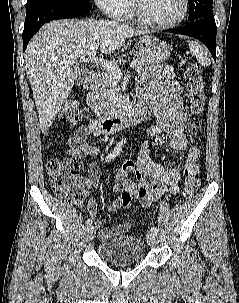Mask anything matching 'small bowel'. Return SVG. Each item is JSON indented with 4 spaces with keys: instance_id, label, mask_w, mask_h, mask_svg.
Here are the masks:
<instances>
[{
    "instance_id": "c3829d8e",
    "label": "small bowel",
    "mask_w": 239,
    "mask_h": 303,
    "mask_svg": "<svg viewBox=\"0 0 239 303\" xmlns=\"http://www.w3.org/2000/svg\"><path fill=\"white\" fill-rule=\"evenodd\" d=\"M142 105L151 109L156 115L157 124L147 131V139L142 144L137 161L125 162L116 171V180L113 192L119 193L125 189L136 197L142 206L149 207L165 193L176 195L180 192V172L174 167H165L150 158V140L163 132L171 133L170 147L177 152L185 151L190 144V138L185 133V113L179 97L181 88L177 83L165 81L160 77L150 80L143 79L139 86ZM101 136L102 142L108 141V136L99 129L98 122L91 120L80 127L69 140L67 154L76 157L81 162L99 153L100 149L91 146L85 141L88 136ZM89 178L84 182L88 188L97 186L100 180V170L96 163L88 162ZM134 175L135 180L131 178ZM120 198H115L108 206L110 212L121 208ZM97 203L90 199L87 211L99 229V238L109 241L113 237L125 232L129 228L127 222L114 228L104 227L106 219H97Z\"/></svg>"
}]
</instances>
